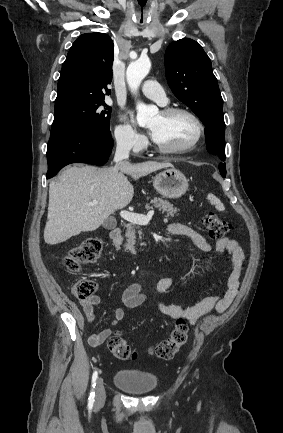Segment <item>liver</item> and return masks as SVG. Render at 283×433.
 Wrapping results in <instances>:
<instances>
[{
    "label": "liver",
    "mask_w": 283,
    "mask_h": 433,
    "mask_svg": "<svg viewBox=\"0 0 283 433\" xmlns=\"http://www.w3.org/2000/svg\"><path fill=\"white\" fill-rule=\"evenodd\" d=\"M165 166L172 164L156 160L131 164L124 160L109 168L69 166L61 172L59 180H51L49 184L45 243L57 245L80 233L96 231L112 212L132 200L134 188L125 174L137 180ZM93 200H98V204H89Z\"/></svg>",
    "instance_id": "obj_1"
}]
</instances>
